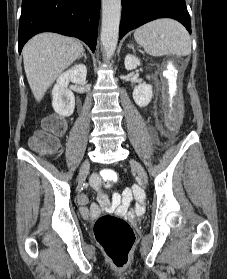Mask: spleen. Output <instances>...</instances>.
Returning <instances> with one entry per match:
<instances>
[{
  "mask_svg": "<svg viewBox=\"0 0 227 279\" xmlns=\"http://www.w3.org/2000/svg\"><path fill=\"white\" fill-rule=\"evenodd\" d=\"M136 42L152 56L191 53V39L186 29L172 19H158L136 29Z\"/></svg>",
  "mask_w": 227,
  "mask_h": 279,
  "instance_id": "spleen-1",
  "label": "spleen"
}]
</instances>
